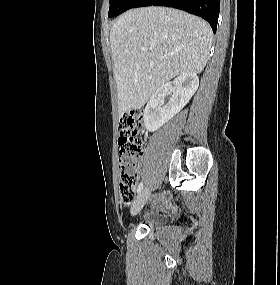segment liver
Here are the masks:
<instances>
[{
  "mask_svg": "<svg viewBox=\"0 0 280 285\" xmlns=\"http://www.w3.org/2000/svg\"><path fill=\"white\" fill-rule=\"evenodd\" d=\"M212 37L206 21L180 10L147 7L122 14L110 31L119 116L144 106L173 77L201 73Z\"/></svg>",
  "mask_w": 280,
  "mask_h": 285,
  "instance_id": "6515ba94",
  "label": "liver"
}]
</instances>
